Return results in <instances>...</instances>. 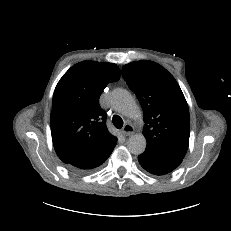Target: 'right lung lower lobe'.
Listing matches in <instances>:
<instances>
[{
    "instance_id": "obj_1",
    "label": "right lung lower lobe",
    "mask_w": 231,
    "mask_h": 231,
    "mask_svg": "<svg viewBox=\"0 0 231 231\" xmlns=\"http://www.w3.org/2000/svg\"><path fill=\"white\" fill-rule=\"evenodd\" d=\"M116 143L98 155L68 160L64 163H66L67 166L71 170L80 171V172L88 171L90 169L96 168V167L100 166L101 164H103L108 159V157L112 153L114 147L116 146Z\"/></svg>"
}]
</instances>
